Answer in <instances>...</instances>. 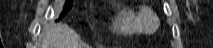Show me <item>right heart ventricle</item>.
<instances>
[{"mask_svg": "<svg viewBox=\"0 0 213 48\" xmlns=\"http://www.w3.org/2000/svg\"><path fill=\"white\" fill-rule=\"evenodd\" d=\"M142 12L130 5H121L112 18V28L125 36H139L145 33L139 22V14Z\"/></svg>", "mask_w": 213, "mask_h": 48, "instance_id": "right-heart-ventricle-1", "label": "right heart ventricle"}]
</instances>
